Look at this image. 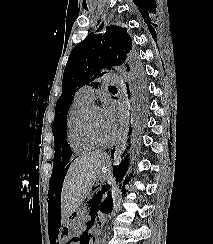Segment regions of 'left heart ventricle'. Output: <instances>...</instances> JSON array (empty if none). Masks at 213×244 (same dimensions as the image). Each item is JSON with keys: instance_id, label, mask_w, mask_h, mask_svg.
Here are the masks:
<instances>
[{"instance_id": "obj_1", "label": "left heart ventricle", "mask_w": 213, "mask_h": 244, "mask_svg": "<svg viewBox=\"0 0 213 244\" xmlns=\"http://www.w3.org/2000/svg\"><path fill=\"white\" fill-rule=\"evenodd\" d=\"M90 123L95 135L100 139H107L112 135L110 129L104 122L102 112L99 108H94L90 113Z\"/></svg>"}]
</instances>
